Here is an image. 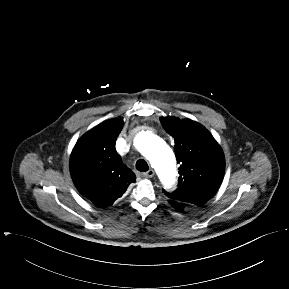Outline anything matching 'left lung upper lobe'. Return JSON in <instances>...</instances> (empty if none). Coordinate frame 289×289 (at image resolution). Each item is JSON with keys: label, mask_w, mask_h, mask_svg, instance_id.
<instances>
[{"label": "left lung upper lobe", "mask_w": 289, "mask_h": 289, "mask_svg": "<svg viewBox=\"0 0 289 289\" xmlns=\"http://www.w3.org/2000/svg\"><path fill=\"white\" fill-rule=\"evenodd\" d=\"M165 131L175 139L179 167L178 188L165 192L172 200L193 206L205 204L219 188L225 171L221 147L201 124L176 117L160 118Z\"/></svg>", "instance_id": "obj_1"}]
</instances>
